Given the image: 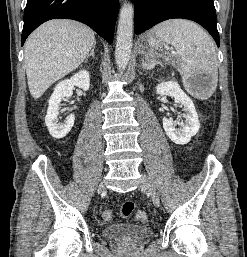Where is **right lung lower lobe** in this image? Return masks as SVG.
<instances>
[{"label":"right lung lower lobe","instance_id":"obj_1","mask_svg":"<svg viewBox=\"0 0 247 257\" xmlns=\"http://www.w3.org/2000/svg\"><path fill=\"white\" fill-rule=\"evenodd\" d=\"M118 9V0H27L21 45L35 28L55 18L80 21L112 43Z\"/></svg>","mask_w":247,"mask_h":257}]
</instances>
